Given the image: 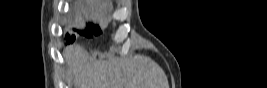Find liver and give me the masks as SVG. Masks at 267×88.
<instances>
[{
	"instance_id": "1",
	"label": "liver",
	"mask_w": 267,
	"mask_h": 88,
	"mask_svg": "<svg viewBox=\"0 0 267 88\" xmlns=\"http://www.w3.org/2000/svg\"><path fill=\"white\" fill-rule=\"evenodd\" d=\"M75 88H169L162 68L144 55L92 61L79 45L63 52Z\"/></svg>"
}]
</instances>
